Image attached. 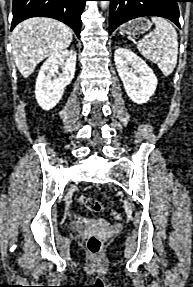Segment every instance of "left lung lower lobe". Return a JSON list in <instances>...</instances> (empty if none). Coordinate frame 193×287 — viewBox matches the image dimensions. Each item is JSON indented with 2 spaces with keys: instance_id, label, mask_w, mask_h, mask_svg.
Returning <instances> with one entry per match:
<instances>
[{
  "instance_id": "left-lung-lower-lobe-1",
  "label": "left lung lower lobe",
  "mask_w": 193,
  "mask_h": 287,
  "mask_svg": "<svg viewBox=\"0 0 193 287\" xmlns=\"http://www.w3.org/2000/svg\"><path fill=\"white\" fill-rule=\"evenodd\" d=\"M110 1L109 33L119 25L143 16H160L179 28V0H108Z\"/></svg>"
}]
</instances>
